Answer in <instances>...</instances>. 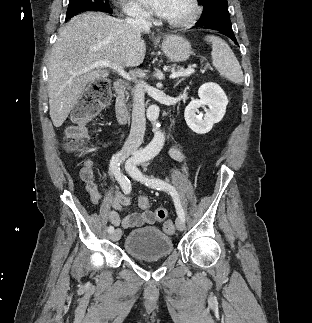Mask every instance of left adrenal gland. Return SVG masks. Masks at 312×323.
Returning <instances> with one entry per match:
<instances>
[{
	"label": "left adrenal gland",
	"mask_w": 312,
	"mask_h": 323,
	"mask_svg": "<svg viewBox=\"0 0 312 323\" xmlns=\"http://www.w3.org/2000/svg\"><path fill=\"white\" fill-rule=\"evenodd\" d=\"M184 78H181V80H178V82H176L174 88H176V86H178V84H181V82H183Z\"/></svg>",
	"instance_id": "left-adrenal-gland-1"
}]
</instances>
